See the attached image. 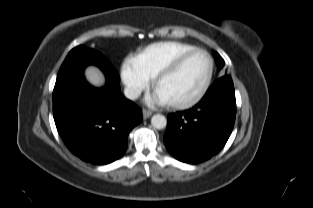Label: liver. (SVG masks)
Masks as SVG:
<instances>
[{"instance_id": "1", "label": "liver", "mask_w": 313, "mask_h": 208, "mask_svg": "<svg viewBox=\"0 0 313 208\" xmlns=\"http://www.w3.org/2000/svg\"><path fill=\"white\" fill-rule=\"evenodd\" d=\"M85 77L94 86L100 87L104 84L103 73L95 66H88L85 70Z\"/></svg>"}]
</instances>
